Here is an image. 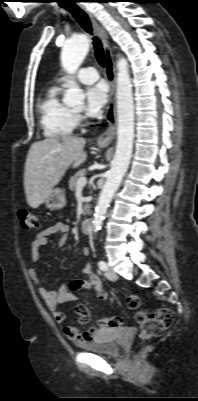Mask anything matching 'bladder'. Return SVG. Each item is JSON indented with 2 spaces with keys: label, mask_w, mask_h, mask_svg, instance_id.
I'll use <instances>...</instances> for the list:
<instances>
[{
  "label": "bladder",
  "mask_w": 198,
  "mask_h": 401,
  "mask_svg": "<svg viewBox=\"0 0 198 401\" xmlns=\"http://www.w3.org/2000/svg\"><path fill=\"white\" fill-rule=\"evenodd\" d=\"M122 330L119 328H105L100 336L93 342L83 345V348L89 352L118 356L121 352V344L117 341Z\"/></svg>",
  "instance_id": "bladder-1"
}]
</instances>
